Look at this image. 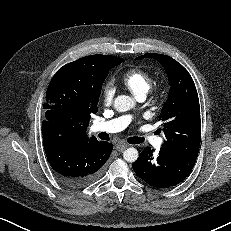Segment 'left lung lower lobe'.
I'll list each match as a JSON object with an SVG mask.
<instances>
[{
    "label": "left lung lower lobe",
    "mask_w": 231,
    "mask_h": 231,
    "mask_svg": "<svg viewBox=\"0 0 231 231\" xmlns=\"http://www.w3.org/2000/svg\"><path fill=\"white\" fill-rule=\"evenodd\" d=\"M196 158L169 153L146 147L133 163L134 172L146 183L155 188H168L182 182L192 171Z\"/></svg>",
    "instance_id": "1"
}]
</instances>
